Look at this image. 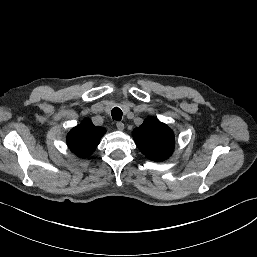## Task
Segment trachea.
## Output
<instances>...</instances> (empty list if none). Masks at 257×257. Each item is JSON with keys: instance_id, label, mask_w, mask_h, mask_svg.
Here are the masks:
<instances>
[{"instance_id": "obj_1", "label": "trachea", "mask_w": 257, "mask_h": 257, "mask_svg": "<svg viewBox=\"0 0 257 257\" xmlns=\"http://www.w3.org/2000/svg\"><path fill=\"white\" fill-rule=\"evenodd\" d=\"M112 118L116 121H120L122 119V111L120 108L115 107L111 111Z\"/></svg>"}]
</instances>
